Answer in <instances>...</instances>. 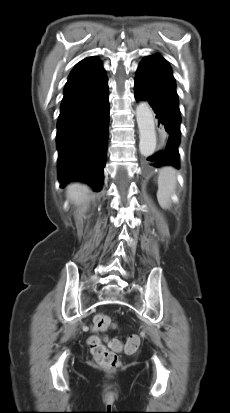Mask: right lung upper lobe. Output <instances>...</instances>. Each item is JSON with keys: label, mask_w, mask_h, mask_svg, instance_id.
Segmentation results:
<instances>
[{"label": "right lung upper lobe", "mask_w": 230, "mask_h": 413, "mask_svg": "<svg viewBox=\"0 0 230 413\" xmlns=\"http://www.w3.org/2000/svg\"><path fill=\"white\" fill-rule=\"evenodd\" d=\"M102 67V62L97 57H87L80 61L69 75V79L82 76Z\"/></svg>", "instance_id": "1"}]
</instances>
